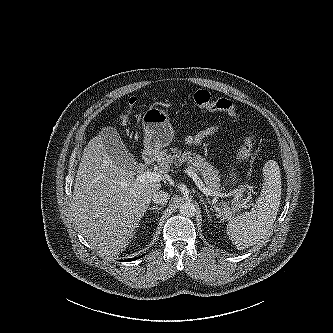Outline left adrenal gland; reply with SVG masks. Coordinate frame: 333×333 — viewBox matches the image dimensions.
I'll use <instances>...</instances> for the list:
<instances>
[{
  "mask_svg": "<svg viewBox=\"0 0 333 333\" xmlns=\"http://www.w3.org/2000/svg\"><path fill=\"white\" fill-rule=\"evenodd\" d=\"M200 197H201V202L204 204V208H205V211H206V214H207V218H208V220L212 221V218H211V215L209 214V210H208V207H207V205H206V202H205V200L202 198V196H200Z\"/></svg>",
  "mask_w": 333,
  "mask_h": 333,
  "instance_id": "1",
  "label": "left adrenal gland"
}]
</instances>
